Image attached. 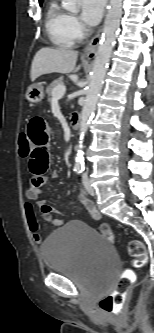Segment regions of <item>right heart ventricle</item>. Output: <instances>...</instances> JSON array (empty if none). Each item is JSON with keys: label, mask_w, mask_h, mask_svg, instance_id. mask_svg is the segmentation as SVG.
Returning a JSON list of instances; mask_svg holds the SVG:
<instances>
[{"label": "right heart ventricle", "mask_w": 154, "mask_h": 333, "mask_svg": "<svg viewBox=\"0 0 154 333\" xmlns=\"http://www.w3.org/2000/svg\"><path fill=\"white\" fill-rule=\"evenodd\" d=\"M70 15L61 7L57 0H53L46 13V31L51 42L59 48L75 45L77 38L70 29Z\"/></svg>", "instance_id": "e07e8e85"}]
</instances>
